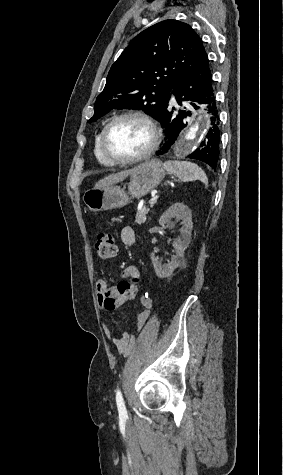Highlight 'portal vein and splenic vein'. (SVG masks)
Returning a JSON list of instances; mask_svg holds the SVG:
<instances>
[{"instance_id": "18ae733b", "label": "portal vein and splenic vein", "mask_w": 283, "mask_h": 475, "mask_svg": "<svg viewBox=\"0 0 283 475\" xmlns=\"http://www.w3.org/2000/svg\"><path fill=\"white\" fill-rule=\"evenodd\" d=\"M157 202V196H154V198H151V200H149V204H151V206H153V204H156Z\"/></svg>"}]
</instances>
